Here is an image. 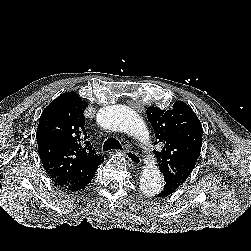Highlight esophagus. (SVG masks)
<instances>
[{
    "mask_svg": "<svg viewBox=\"0 0 251 251\" xmlns=\"http://www.w3.org/2000/svg\"><path fill=\"white\" fill-rule=\"evenodd\" d=\"M125 153L132 166L136 168L141 165L140 156L136 152L127 149Z\"/></svg>",
    "mask_w": 251,
    "mask_h": 251,
    "instance_id": "esophagus-1",
    "label": "esophagus"
}]
</instances>
